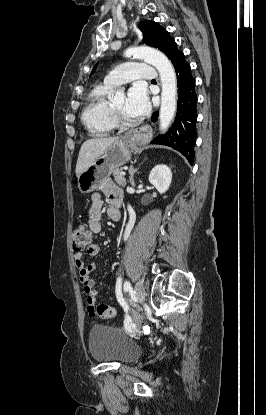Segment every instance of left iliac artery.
I'll return each instance as SVG.
<instances>
[{"mask_svg":"<svg viewBox=\"0 0 266 415\" xmlns=\"http://www.w3.org/2000/svg\"><path fill=\"white\" fill-rule=\"evenodd\" d=\"M121 282H122V279L119 277L117 279V282H116V294L117 295L120 293V290H121ZM129 290H131V284H130L129 281H125L124 282V291L126 292V291H129Z\"/></svg>","mask_w":266,"mask_h":415,"instance_id":"44dca946","label":"left iliac artery"}]
</instances>
